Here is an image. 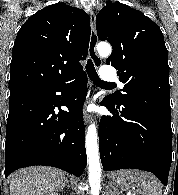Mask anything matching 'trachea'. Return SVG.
I'll return each instance as SVG.
<instances>
[{
  "label": "trachea",
  "mask_w": 178,
  "mask_h": 195,
  "mask_svg": "<svg viewBox=\"0 0 178 195\" xmlns=\"http://www.w3.org/2000/svg\"><path fill=\"white\" fill-rule=\"evenodd\" d=\"M86 71H87V74H88L89 78H90L94 83H96L97 85L102 86V87H109V88L114 87V85H112V84H107V83H105L104 81H102V80L99 78V76H98V74H97V72H96V70H95L94 64H93V62H92L90 59L87 61V64H86Z\"/></svg>",
  "instance_id": "1"
}]
</instances>
